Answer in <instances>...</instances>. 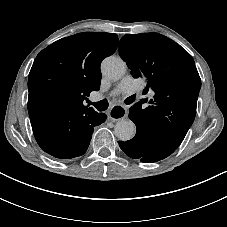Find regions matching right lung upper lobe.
<instances>
[{
    "mask_svg": "<svg viewBox=\"0 0 227 227\" xmlns=\"http://www.w3.org/2000/svg\"><path fill=\"white\" fill-rule=\"evenodd\" d=\"M118 36L82 32L60 39L42 50L28 78V112L31 119L42 104L56 112L91 110L84 106L91 91L100 87L102 60L117 48Z\"/></svg>",
    "mask_w": 227,
    "mask_h": 227,
    "instance_id": "1",
    "label": "right lung upper lobe"
}]
</instances>
